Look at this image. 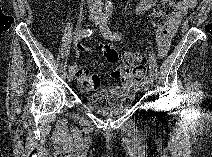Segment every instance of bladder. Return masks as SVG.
<instances>
[{
  "mask_svg": "<svg viewBox=\"0 0 212 157\" xmlns=\"http://www.w3.org/2000/svg\"><path fill=\"white\" fill-rule=\"evenodd\" d=\"M135 101V93L117 86H107L87 95L85 105L103 115L119 114Z\"/></svg>",
  "mask_w": 212,
  "mask_h": 157,
  "instance_id": "31cf9c89",
  "label": "bladder"
}]
</instances>
